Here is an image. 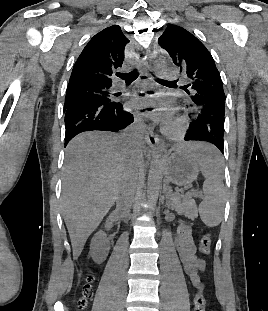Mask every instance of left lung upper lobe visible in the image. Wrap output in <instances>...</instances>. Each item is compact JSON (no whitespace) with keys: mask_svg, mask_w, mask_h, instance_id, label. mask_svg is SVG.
Masks as SVG:
<instances>
[{"mask_svg":"<svg viewBox=\"0 0 268 311\" xmlns=\"http://www.w3.org/2000/svg\"><path fill=\"white\" fill-rule=\"evenodd\" d=\"M158 43L190 79V83L184 86V90L190 95L186 103L190 109V119L201 113L206 104L215 106L217 100H225L222 80L214 59L193 34L180 26L170 25L160 36Z\"/></svg>","mask_w":268,"mask_h":311,"instance_id":"obj_1","label":"left lung upper lobe"}]
</instances>
